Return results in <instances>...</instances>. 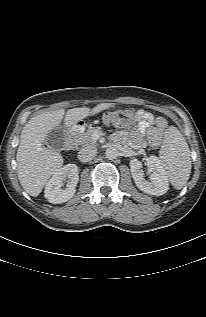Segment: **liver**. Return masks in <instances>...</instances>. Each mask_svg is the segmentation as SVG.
<instances>
[{"instance_id":"liver-1","label":"liver","mask_w":206,"mask_h":317,"mask_svg":"<svg viewBox=\"0 0 206 317\" xmlns=\"http://www.w3.org/2000/svg\"><path fill=\"white\" fill-rule=\"evenodd\" d=\"M113 103H100L94 108L58 109L32 117L20 135L17 150V173L23 189L33 197L38 196L52 174L63 165V157L55 150L44 147L48 133L63 122L71 127L82 119L114 107Z\"/></svg>"}]
</instances>
